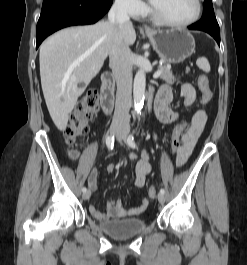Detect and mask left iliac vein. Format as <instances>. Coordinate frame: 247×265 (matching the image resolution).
<instances>
[{
	"label": "left iliac vein",
	"instance_id": "1",
	"mask_svg": "<svg viewBox=\"0 0 247 265\" xmlns=\"http://www.w3.org/2000/svg\"><path fill=\"white\" fill-rule=\"evenodd\" d=\"M126 138H127V131L126 130H122L118 135H117V139L121 144H124L126 142ZM158 200L160 203H164L165 202V195L162 193L158 194Z\"/></svg>",
	"mask_w": 247,
	"mask_h": 265
}]
</instances>
